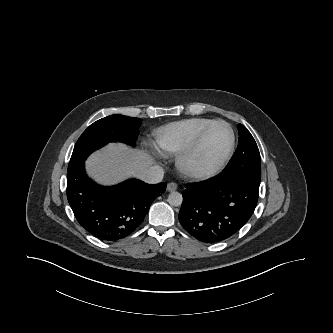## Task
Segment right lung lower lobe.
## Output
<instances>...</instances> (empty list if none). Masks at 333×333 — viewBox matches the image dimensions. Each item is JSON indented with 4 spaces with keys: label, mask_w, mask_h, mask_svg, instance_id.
<instances>
[{
    "label": "right lung lower lobe",
    "mask_w": 333,
    "mask_h": 333,
    "mask_svg": "<svg viewBox=\"0 0 333 333\" xmlns=\"http://www.w3.org/2000/svg\"><path fill=\"white\" fill-rule=\"evenodd\" d=\"M166 186L130 179L104 187L87 176L84 162L67 172V198L77 221L103 241H117L133 233Z\"/></svg>",
    "instance_id": "1"
}]
</instances>
